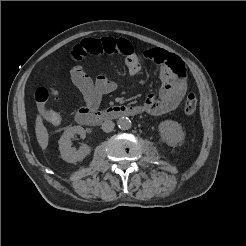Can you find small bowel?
Returning a JSON list of instances; mask_svg holds the SVG:
<instances>
[{
    "label": "small bowel",
    "instance_id": "obj_1",
    "mask_svg": "<svg viewBox=\"0 0 246 246\" xmlns=\"http://www.w3.org/2000/svg\"><path fill=\"white\" fill-rule=\"evenodd\" d=\"M119 55L125 58L130 76L141 70V61L132 44L125 39L101 38L85 39L72 51V57L79 61L87 55ZM144 57L158 65L162 86L158 95H149L140 106L142 112L159 116L175 110L187 91L186 67L175 54L154 48L144 52ZM70 75L77 91L83 96L86 108L96 109L104 95L116 89V83L104 75L95 79L88 76L80 65L70 70Z\"/></svg>",
    "mask_w": 246,
    "mask_h": 246
}]
</instances>
